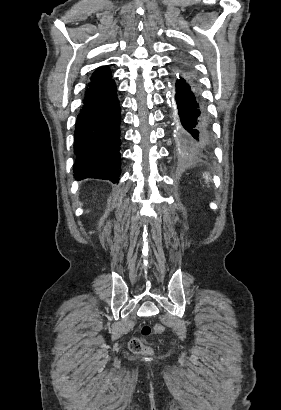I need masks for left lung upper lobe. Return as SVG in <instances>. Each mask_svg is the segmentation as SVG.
Instances as JSON below:
<instances>
[{"label": "left lung upper lobe", "mask_w": 281, "mask_h": 410, "mask_svg": "<svg viewBox=\"0 0 281 410\" xmlns=\"http://www.w3.org/2000/svg\"><path fill=\"white\" fill-rule=\"evenodd\" d=\"M177 70H178V71L185 72V73H188V74H190V75H192V76L195 77L194 68H193L192 65H191L188 61H186V60H182V61L179 62V66H178Z\"/></svg>", "instance_id": "left-lung-upper-lobe-1"}]
</instances>
